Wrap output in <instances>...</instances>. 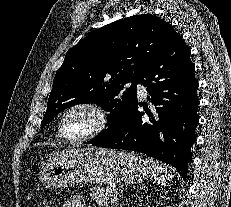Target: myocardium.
Instances as JSON below:
<instances>
[{
  "mask_svg": "<svg viewBox=\"0 0 231 207\" xmlns=\"http://www.w3.org/2000/svg\"><path fill=\"white\" fill-rule=\"evenodd\" d=\"M76 109H86L93 113V115L96 118V123L94 128L88 132L87 134L81 136V137H69L64 128V122L66 117L74 110ZM109 116L106 112V110L100 106L99 104L92 102V101H79L76 102L70 106H68L61 114L59 119V125H58V132L60 137L70 143H82L89 141L103 132H105L109 126Z\"/></svg>",
  "mask_w": 231,
  "mask_h": 207,
  "instance_id": "obj_1",
  "label": "myocardium"
}]
</instances>
